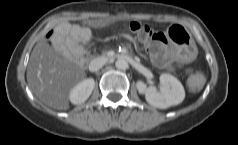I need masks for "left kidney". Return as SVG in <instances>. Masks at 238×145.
Returning <instances> with one entry per match:
<instances>
[{
  "label": "left kidney",
  "mask_w": 238,
  "mask_h": 145,
  "mask_svg": "<svg viewBox=\"0 0 238 145\" xmlns=\"http://www.w3.org/2000/svg\"><path fill=\"white\" fill-rule=\"evenodd\" d=\"M159 79L161 83L160 92L153 86L147 87L140 80L136 83L138 92L145 95V99L150 105L160 109L180 104L185 98V91L181 82L167 73L161 74Z\"/></svg>",
  "instance_id": "left-kidney-1"
}]
</instances>
